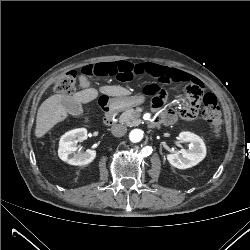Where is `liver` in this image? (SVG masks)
<instances>
[{
	"label": "liver",
	"mask_w": 250,
	"mask_h": 250,
	"mask_svg": "<svg viewBox=\"0 0 250 250\" xmlns=\"http://www.w3.org/2000/svg\"><path fill=\"white\" fill-rule=\"evenodd\" d=\"M99 91L102 94L121 97L130 95L131 92L121 86H102ZM98 91L95 88H88L75 93L73 96L55 94L46 99L37 111L35 136L37 138L43 137L49 130H51L57 123L64 121L68 114L62 107L61 100L65 97L71 98L78 103H89L96 99Z\"/></svg>",
	"instance_id": "liver-1"
}]
</instances>
